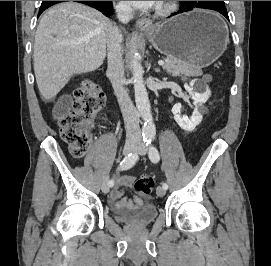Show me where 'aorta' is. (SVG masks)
<instances>
[{
    "mask_svg": "<svg viewBox=\"0 0 271 266\" xmlns=\"http://www.w3.org/2000/svg\"><path fill=\"white\" fill-rule=\"evenodd\" d=\"M136 38L137 33H133V41L136 40ZM132 53L133 58L131 61V68L134 83L135 102L138 112L144 121L142 134L144 138L152 139L156 134V129L153 123L148 93L143 79V67L139 62V54L134 46Z\"/></svg>",
    "mask_w": 271,
    "mask_h": 266,
    "instance_id": "obj_1",
    "label": "aorta"
}]
</instances>
